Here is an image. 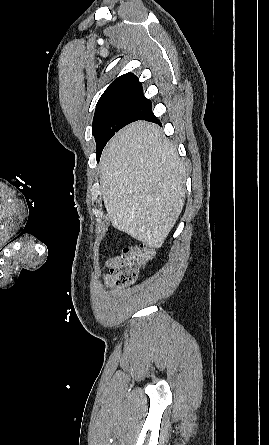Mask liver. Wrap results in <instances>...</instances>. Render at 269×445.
I'll return each mask as SVG.
<instances>
[{
    "instance_id": "1",
    "label": "liver",
    "mask_w": 269,
    "mask_h": 445,
    "mask_svg": "<svg viewBox=\"0 0 269 445\" xmlns=\"http://www.w3.org/2000/svg\"><path fill=\"white\" fill-rule=\"evenodd\" d=\"M186 168L173 144L152 123L120 130L101 157L104 205L117 230L160 248L185 202Z\"/></svg>"
}]
</instances>
